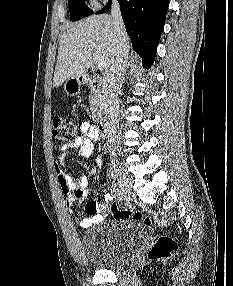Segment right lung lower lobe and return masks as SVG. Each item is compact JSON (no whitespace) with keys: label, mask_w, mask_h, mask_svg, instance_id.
Instances as JSON below:
<instances>
[{"label":"right lung lower lobe","mask_w":233,"mask_h":286,"mask_svg":"<svg viewBox=\"0 0 233 286\" xmlns=\"http://www.w3.org/2000/svg\"><path fill=\"white\" fill-rule=\"evenodd\" d=\"M112 0L96 14L107 12ZM126 31L143 65L149 68L165 24L169 0H118Z\"/></svg>","instance_id":"98d812e1"}]
</instances>
